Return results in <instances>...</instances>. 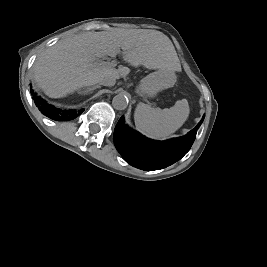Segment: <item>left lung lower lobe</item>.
I'll list each match as a JSON object with an SVG mask.
<instances>
[{
	"label": "left lung lower lobe",
	"instance_id": "obj_1",
	"mask_svg": "<svg viewBox=\"0 0 267 267\" xmlns=\"http://www.w3.org/2000/svg\"><path fill=\"white\" fill-rule=\"evenodd\" d=\"M201 123L202 121L185 136L154 141L128 128L122 116L114 130V144L130 165L148 171L162 169L178 161L189 151Z\"/></svg>",
	"mask_w": 267,
	"mask_h": 267
}]
</instances>
